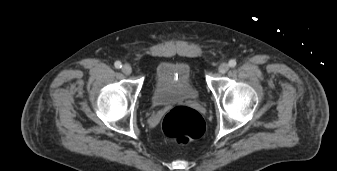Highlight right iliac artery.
<instances>
[{"mask_svg":"<svg viewBox=\"0 0 337 171\" xmlns=\"http://www.w3.org/2000/svg\"><path fill=\"white\" fill-rule=\"evenodd\" d=\"M114 65L117 69H120L122 67V64L120 61H116Z\"/></svg>","mask_w":337,"mask_h":171,"instance_id":"obj_1","label":"right iliac artery"}]
</instances>
